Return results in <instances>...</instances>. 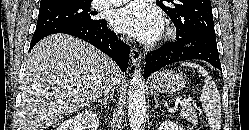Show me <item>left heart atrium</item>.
<instances>
[{"label":"left heart atrium","mask_w":249,"mask_h":130,"mask_svg":"<svg viewBox=\"0 0 249 130\" xmlns=\"http://www.w3.org/2000/svg\"><path fill=\"white\" fill-rule=\"evenodd\" d=\"M113 27L140 41H153L162 31L160 12L143 0H135L115 11L111 18Z\"/></svg>","instance_id":"1"}]
</instances>
